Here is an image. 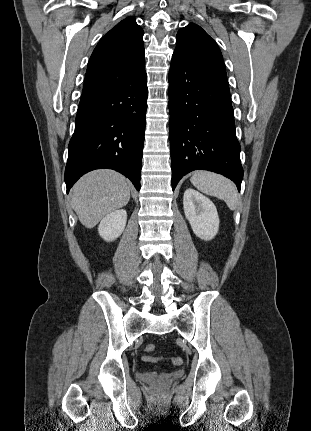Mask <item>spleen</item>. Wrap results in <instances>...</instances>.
<instances>
[{
	"mask_svg": "<svg viewBox=\"0 0 311 431\" xmlns=\"http://www.w3.org/2000/svg\"><path fill=\"white\" fill-rule=\"evenodd\" d=\"M190 182L203 194L216 196L219 200H224L230 210H236L239 202L237 188L231 180L212 172H194Z\"/></svg>",
	"mask_w": 311,
	"mask_h": 431,
	"instance_id": "1",
	"label": "spleen"
}]
</instances>
